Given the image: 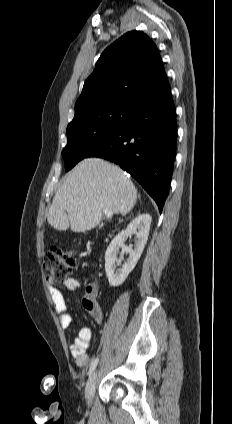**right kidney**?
<instances>
[{"label":"right kidney","instance_id":"1","mask_svg":"<svg viewBox=\"0 0 232 424\" xmlns=\"http://www.w3.org/2000/svg\"><path fill=\"white\" fill-rule=\"evenodd\" d=\"M152 218L149 214L138 215L127 228L120 232L109 244L105 253V272L110 286H120L129 273L134 269L148 240ZM136 233L134 249L124 245L128 237ZM121 253L129 254L128 259L121 268H117L120 259L117 258L119 249Z\"/></svg>","mask_w":232,"mask_h":424}]
</instances>
